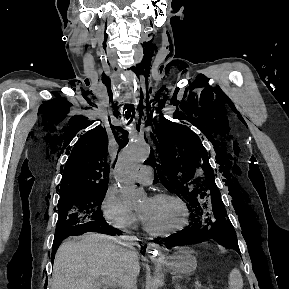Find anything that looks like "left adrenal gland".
Wrapping results in <instances>:
<instances>
[{
  "label": "left adrenal gland",
  "mask_w": 289,
  "mask_h": 289,
  "mask_svg": "<svg viewBox=\"0 0 289 289\" xmlns=\"http://www.w3.org/2000/svg\"><path fill=\"white\" fill-rule=\"evenodd\" d=\"M175 289H185V288H182V286L180 285V283H176V284H175Z\"/></svg>",
  "instance_id": "1"
}]
</instances>
